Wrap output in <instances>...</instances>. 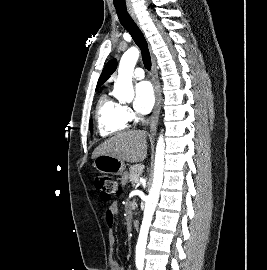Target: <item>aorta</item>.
Masks as SVG:
<instances>
[{"instance_id": "1", "label": "aorta", "mask_w": 267, "mask_h": 270, "mask_svg": "<svg viewBox=\"0 0 267 270\" xmlns=\"http://www.w3.org/2000/svg\"><path fill=\"white\" fill-rule=\"evenodd\" d=\"M139 50L135 47L129 48L122 56L119 67L118 77L114 84L113 95L119 101H129L134 97L132 77L134 67L139 58ZM165 142L163 135L159 136L154 166V178L149 195L146 198L143 221L136 246V262H143L149 227L158 203L160 189L163 182L164 172Z\"/></svg>"}]
</instances>
